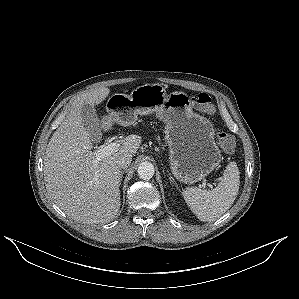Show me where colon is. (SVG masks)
Here are the masks:
<instances>
[{"mask_svg": "<svg viewBox=\"0 0 299 299\" xmlns=\"http://www.w3.org/2000/svg\"><path fill=\"white\" fill-rule=\"evenodd\" d=\"M193 103L206 113H213L214 106L211 98L205 94L200 93L192 98ZM218 142L220 146L227 152H232L235 148V140L232 136L225 132L218 133Z\"/></svg>", "mask_w": 299, "mask_h": 299, "instance_id": "5ec220e1", "label": "colon"}]
</instances>
